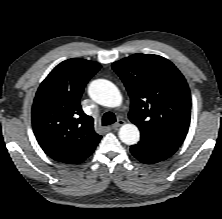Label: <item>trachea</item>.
I'll return each instance as SVG.
<instances>
[{
  "instance_id": "obj_1",
  "label": "trachea",
  "mask_w": 222,
  "mask_h": 219,
  "mask_svg": "<svg viewBox=\"0 0 222 219\" xmlns=\"http://www.w3.org/2000/svg\"><path fill=\"white\" fill-rule=\"evenodd\" d=\"M115 122H116V117H115L114 113H112V112H107L102 117V125L103 126L111 125Z\"/></svg>"
}]
</instances>
